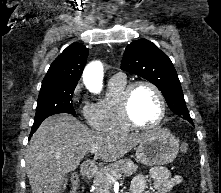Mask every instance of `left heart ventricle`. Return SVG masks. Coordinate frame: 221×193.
<instances>
[{
	"mask_svg": "<svg viewBox=\"0 0 221 193\" xmlns=\"http://www.w3.org/2000/svg\"><path fill=\"white\" fill-rule=\"evenodd\" d=\"M131 112L139 124L154 123L160 113V103L155 92L148 86L137 87L131 99Z\"/></svg>",
	"mask_w": 221,
	"mask_h": 193,
	"instance_id": "obj_1",
	"label": "left heart ventricle"
}]
</instances>
